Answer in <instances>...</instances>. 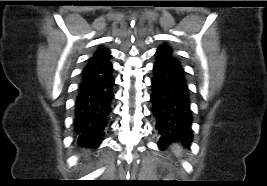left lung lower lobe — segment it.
Here are the masks:
<instances>
[{"mask_svg": "<svg viewBox=\"0 0 267 186\" xmlns=\"http://www.w3.org/2000/svg\"><path fill=\"white\" fill-rule=\"evenodd\" d=\"M151 79L152 113L160 136L159 146L180 141H192V115L189 89L182 66L156 53Z\"/></svg>", "mask_w": 267, "mask_h": 186, "instance_id": "0a47b994", "label": "left lung lower lobe"}]
</instances>
